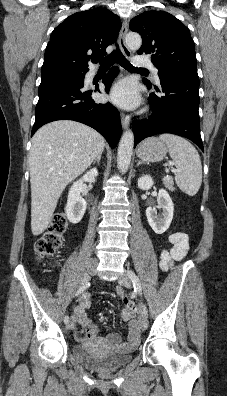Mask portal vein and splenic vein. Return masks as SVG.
Segmentation results:
<instances>
[{"instance_id":"portal-vein-and-splenic-vein-1","label":"portal vein and splenic vein","mask_w":227,"mask_h":396,"mask_svg":"<svg viewBox=\"0 0 227 396\" xmlns=\"http://www.w3.org/2000/svg\"><path fill=\"white\" fill-rule=\"evenodd\" d=\"M174 163L173 162H170V165H173Z\"/></svg>"}]
</instances>
